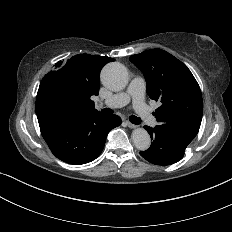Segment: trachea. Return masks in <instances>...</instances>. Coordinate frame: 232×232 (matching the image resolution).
<instances>
[{"label":"trachea","mask_w":232,"mask_h":232,"mask_svg":"<svg viewBox=\"0 0 232 232\" xmlns=\"http://www.w3.org/2000/svg\"><path fill=\"white\" fill-rule=\"evenodd\" d=\"M102 113L105 115H111L113 113V111L109 108H104V109H102ZM130 122L138 125V124H141L142 119L132 115L130 117Z\"/></svg>","instance_id":"3493384b"}]
</instances>
